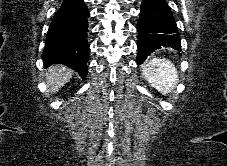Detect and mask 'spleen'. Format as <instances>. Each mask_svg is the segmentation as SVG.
I'll use <instances>...</instances> for the list:
<instances>
[{"label":"spleen","mask_w":227,"mask_h":166,"mask_svg":"<svg viewBox=\"0 0 227 166\" xmlns=\"http://www.w3.org/2000/svg\"><path fill=\"white\" fill-rule=\"evenodd\" d=\"M144 78L163 95L172 92L178 83V72L171 61L154 58L142 66Z\"/></svg>","instance_id":"spleen-1"}]
</instances>
